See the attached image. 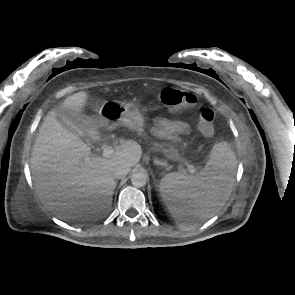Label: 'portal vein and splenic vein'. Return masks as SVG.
Masks as SVG:
<instances>
[{
	"mask_svg": "<svg viewBox=\"0 0 295 295\" xmlns=\"http://www.w3.org/2000/svg\"><path fill=\"white\" fill-rule=\"evenodd\" d=\"M114 153V149L111 146H106L103 150V156L105 158L110 157L111 155H113ZM187 170L189 171V173L194 174L195 173V167L192 164H188L187 165Z\"/></svg>",
	"mask_w": 295,
	"mask_h": 295,
	"instance_id": "18ae733b",
	"label": "portal vein and splenic vein"
}]
</instances>
